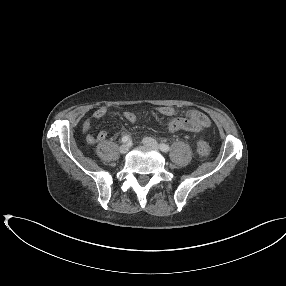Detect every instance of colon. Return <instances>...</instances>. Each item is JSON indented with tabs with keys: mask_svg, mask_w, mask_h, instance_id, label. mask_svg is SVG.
<instances>
[{
	"mask_svg": "<svg viewBox=\"0 0 286 286\" xmlns=\"http://www.w3.org/2000/svg\"><path fill=\"white\" fill-rule=\"evenodd\" d=\"M197 151L199 153V155L201 156H207L209 154V145L203 141V140H200L198 143H197Z\"/></svg>",
	"mask_w": 286,
	"mask_h": 286,
	"instance_id": "obj_1",
	"label": "colon"
}]
</instances>
